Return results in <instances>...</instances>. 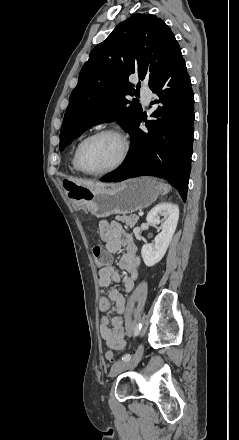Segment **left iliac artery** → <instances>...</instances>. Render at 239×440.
I'll use <instances>...</instances> for the list:
<instances>
[{
    "label": "left iliac artery",
    "instance_id": "left-iliac-artery-1",
    "mask_svg": "<svg viewBox=\"0 0 239 440\" xmlns=\"http://www.w3.org/2000/svg\"><path fill=\"white\" fill-rule=\"evenodd\" d=\"M141 328H142V324L138 323L137 326L135 327V330H134V335L135 336H137L140 333ZM129 359H131V355L130 354H125L122 357V360H129Z\"/></svg>",
    "mask_w": 239,
    "mask_h": 440
}]
</instances>
